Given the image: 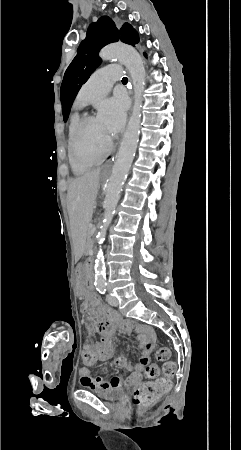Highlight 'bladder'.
Masks as SVG:
<instances>
[{
    "label": "bladder",
    "instance_id": "obj_1",
    "mask_svg": "<svg viewBox=\"0 0 241 450\" xmlns=\"http://www.w3.org/2000/svg\"><path fill=\"white\" fill-rule=\"evenodd\" d=\"M98 395L107 400L118 401L124 398L125 393L121 388H108L98 392Z\"/></svg>",
    "mask_w": 241,
    "mask_h": 450
}]
</instances>
